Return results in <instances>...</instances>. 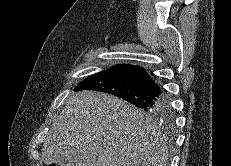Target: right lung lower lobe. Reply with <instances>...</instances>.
Wrapping results in <instances>:
<instances>
[{
    "label": "right lung lower lobe",
    "mask_w": 231,
    "mask_h": 166,
    "mask_svg": "<svg viewBox=\"0 0 231 166\" xmlns=\"http://www.w3.org/2000/svg\"><path fill=\"white\" fill-rule=\"evenodd\" d=\"M75 90H96L113 94L141 109L157 113L167 130H171L174 126V115L170 109L169 99L139 66L116 65L89 76L78 84Z\"/></svg>",
    "instance_id": "right-lung-lower-lobe-1"
}]
</instances>
